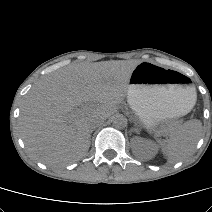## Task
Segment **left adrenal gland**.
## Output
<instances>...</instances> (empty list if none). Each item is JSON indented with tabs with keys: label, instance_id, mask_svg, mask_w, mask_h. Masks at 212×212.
Returning <instances> with one entry per match:
<instances>
[{
	"label": "left adrenal gland",
	"instance_id": "left-adrenal-gland-1",
	"mask_svg": "<svg viewBox=\"0 0 212 212\" xmlns=\"http://www.w3.org/2000/svg\"><path fill=\"white\" fill-rule=\"evenodd\" d=\"M132 131L138 132V128H134L132 129Z\"/></svg>",
	"mask_w": 212,
	"mask_h": 212
}]
</instances>
